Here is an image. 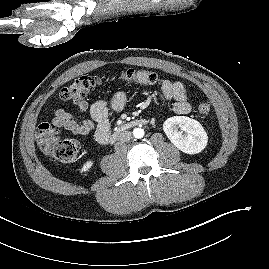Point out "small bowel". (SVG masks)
<instances>
[{"label": "small bowel", "mask_w": 269, "mask_h": 269, "mask_svg": "<svg viewBox=\"0 0 269 269\" xmlns=\"http://www.w3.org/2000/svg\"><path fill=\"white\" fill-rule=\"evenodd\" d=\"M164 102L174 101L171 109L179 115L188 114L191 105L185 86L179 81L164 80L161 87ZM126 103V94L122 91L113 95L109 103L99 100L89 106L85 100L76 102L80 113L89 111L90 119H76L62 108H58L53 117L56 127L64 128L75 135H88L94 132L95 140L100 144H106L110 138L109 113L120 112Z\"/></svg>", "instance_id": "c3829d8e"}]
</instances>
